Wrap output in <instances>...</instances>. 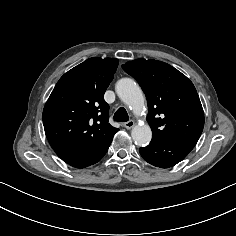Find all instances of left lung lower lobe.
I'll return each instance as SVG.
<instances>
[{
  "label": "left lung lower lobe",
  "instance_id": "0a47b994",
  "mask_svg": "<svg viewBox=\"0 0 236 236\" xmlns=\"http://www.w3.org/2000/svg\"><path fill=\"white\" fill-rule=\"evenodd\" d=\"M195 145L194 141H151L147 147L140 148L139 152L148 163L160 168H169L182 161Z\"/></svg>",
  "mask_w": 236,
  "mask_h": 236
}]
</instances>
